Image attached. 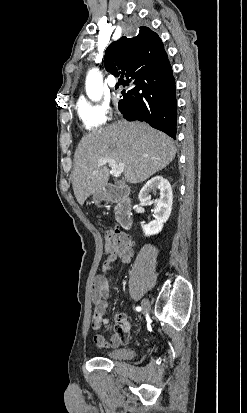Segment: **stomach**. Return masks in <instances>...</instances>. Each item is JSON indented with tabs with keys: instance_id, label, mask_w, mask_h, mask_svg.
Segmentation results:
<instances>
[{
	"instance_id": "0dacf381",
	"label": "stomach",
	"mask_w": 247,
	"mask_h": 413,
	"mask_svg": "<svg viewBox=\"0 0 247 413\" xmlns=\"http://www.w3.org/2000/svg\"><path fill=\"white\" fill-rule=\"evenodd\" d=\"M93 200L95 204H100V202H108L109 198L105 188H103V190H98V192H94Z\"/></svg>"
}]
</instances>
